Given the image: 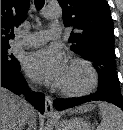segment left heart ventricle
Segmentation results:
<instances>
[{
	"label": "left heart ventricle",
	"instance_id": "1",
	"mask_svg": "<svg viewBox=\"0 0 123 130\" xmlns=\"http://www.w3.org/2000/svg\"><path fill=\"white\" fill-rule=\"evenodd\" d=\"M89 81L88 72L79 66L68 65L59 86L66 88H82L87 85Z\"/></svg>",
	"mask_w": 123,
	"mask_h": 130
}]
</instances>
